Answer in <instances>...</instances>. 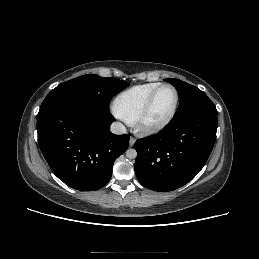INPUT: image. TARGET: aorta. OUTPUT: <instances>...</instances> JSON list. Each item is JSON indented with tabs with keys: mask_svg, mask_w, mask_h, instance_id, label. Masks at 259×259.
<instances>
[{
	"mask_svg": "<svg viewBox=\"0 0 259 259\" xmlns=\"http://www.w3.org/2000/svg\"><path fill=\"white\" fill-rule=\"evenodd\" d=\"M126 156H127L129 159H134V158H136V156H137V152H136L135 149H128V150L126 151Z\"/></svg>",
	"mask_w": 259,
	"mask_h": 259,
	"instance_id": "1",
	"label": "aorta"
}]
</instances>
